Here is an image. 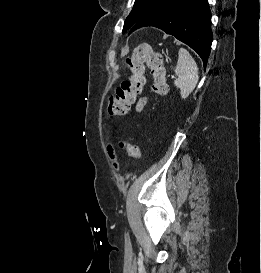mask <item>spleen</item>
I'll return each instance as SVG.
<instances>
[{
  "mask_svg": "<svg viewBox=\"0 0 261 273\" xmlns=\"http://www.w3.org/2000/svg\"><path fill=\"white\" fill-rule=\"evenodd\" d=\"M175 73L177 79L174 81V85L180 89L181 98L185 99L195 89L199 80V75L196 62L184 48L179 49Z\"/></svg>",
  "mask_w": 261,
  "mask_h": 273,
  "instance_id": "spleen-1",
  "label": "spleen"
}]
</instances>
